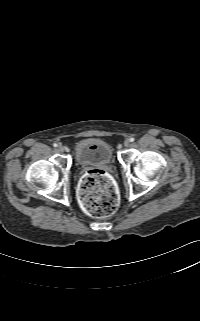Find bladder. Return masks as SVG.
Segmentation results:
<instances>
[{"label":"bladder","mask_w":200,"mask_h":321,"mask_svg":"<svg viewBox=\"0 0 200 321\" xmlns=\"http://www.w3.org/2000/svg\"><path fill=\"white\" fill-rule=\"evenodd\" d=\"M74 157L78 164H109L114 160L113 146L101 138H86L74 147Z\"/></svg>","instance_id":"31cf9c89"}]
</instances>
